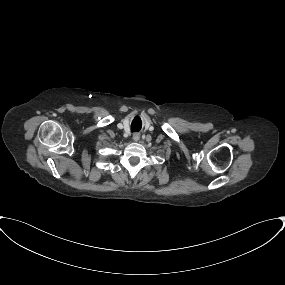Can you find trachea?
Returning <instances> with one entry per match:
<instances>
[{
    "instance_id": "3493384b",
    "label": "trachea",
    "mask_w": 285,
    "mask_h": 285,
    "mask_svg": "<svg viewBox=\"0 0 285 285\" xmlns=\"http://www.w3.org/2000/svg\"><path fill=\"white\" fill-rule=\"evenodd\" d=\"M140 130V127L139 126H136L132 123L131 125V131L134 132V131H139Z\"/></svg>"
}]
</instances>
